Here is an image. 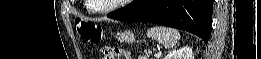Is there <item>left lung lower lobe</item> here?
I'll return each mask as SVG.
<instances>
[{
    "mask_svg": "<svg viewBox=\"0 0 261 59\" xmlns=\"http://www.w3.org/2000/svg\"><path fill=\"white\" fill-rule=\"evenodd\" d=\"M213 0H134L108 14L127 22H152L199 36L206 44L211 35Z\"/></svg>",
    "mask_w": 261,
    "mask_h": 59,
    "instance_id": "1",
    "label": "left lung lower lobe"
}]
</instances>
